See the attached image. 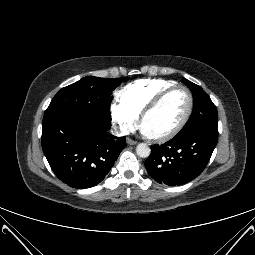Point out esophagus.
Wrapping results in <instances>:
<instances>
[{"label": "esophagus", "instance_id": "esophagus-1", "mask_svg": "<svg viewBox=\"0 0 255 255\" xmlns=\"http://www.w3.org/2000/svg\"><path fill=\"white\" fill-rule=\"evenodd\" d=\"M126 142H127L128 145H136V144H137V141L132 140V139H130V138H127V139H126Z\"/></svg>", "mask_w": 255, "mask_h": 255}]
</instances>
